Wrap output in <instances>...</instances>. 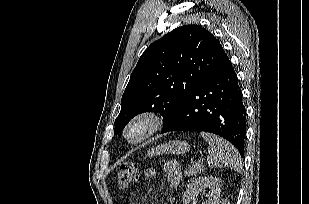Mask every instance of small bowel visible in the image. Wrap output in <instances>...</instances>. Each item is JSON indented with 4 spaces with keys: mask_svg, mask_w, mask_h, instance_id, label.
<instances>
[{
    "mask_svg": "<svg viewBox=\"0 0 309 204\" xmlns=\"http://www.w3.org/2000/svg\"><path fill=\"white\" fill-rule=\"evenodd\" d=\"M165 173L168 176L169 184L172 187L178 185L181 180L182 171L180 164L177 161H168L164 166ZM156 176V170L153 168H149L145 172L146 178H153Z\"/></svg>",
    "mask_w": 309,
    "mask_h": 204,
    "instance_id": "c3829d8e",
    "label": "small bowel"
}]
</instances>
